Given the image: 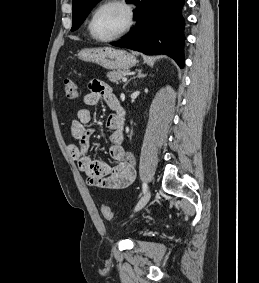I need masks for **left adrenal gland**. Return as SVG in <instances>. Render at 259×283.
I'll return each mask as SVG.
<instances>
[{"label":"left adrenal gland","mask_w":259,"mask_h":283,"mask_svg":"<svg viewBox=\"0 0 259 283\" xmlns=\"http://www.w3.org/2000/svg\"><path fill=\"white\" fill-rule=\"evenodd\" d=\"M145 76H146V74H143V73H142V70H137V75L134 76V77H132L131 79H129V80L125 83L124 88L126 87V85H127L132 79H135V78H143V77H145Z\"/></svg>","instance_id":"1"}]
</instances>
